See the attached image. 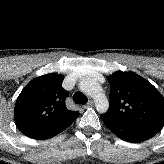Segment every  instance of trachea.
Wrapping results in <instances>:
<instances>
[{
    "instance_id": "obj_1",
    "label": "trachea",
    "mask_w": 164,
    "mask_h": 164,
    "mask_svg": "<svg viewBox=\"0 0 164 164\" xmlns=\"http://www.w3.org/2000/svg\"><path fill=\"white\" fill-rule=\"evenodd\" d=\"M73 100L75 103L83 105L88 102V98L81 92H75V94L73 95Z\"/></svg>"
}]
</instances>
